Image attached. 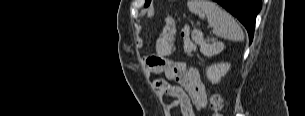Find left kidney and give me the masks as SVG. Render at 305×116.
Wrapping results in <instances>:
<instances>
[{
  "label": "left kidney",
  "mask_w": 305,
  "mask_h": 116,
  "mask_svg": "<svg viewBox=\"0 0 305 116\" xmlns=\"http://www.w3.org/2000/svg\"><path fill=\"white\" fill-rule=\"evenodd\" d=\"M231 65L229 63H217L213 64L206 69V76L212 84L220 82L221 78L226 75L230 70Z\"/></svg>",
  "instance_id": "left-kidney-1"
}]
</instances>
